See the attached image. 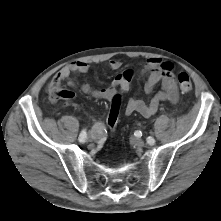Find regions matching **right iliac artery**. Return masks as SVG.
<instances>
[{
    "label": "right iliac artery",
    "instance_id": "1",
    "mask_svg": "<svg viewBox=\"0 0 221 221\" xmlns=\"http://www.w3.org/2000/svg\"><path fill=\"white\" fill-rule=\"evenodd\" d=\"M87 139L86 130H83L79 135V142L84 143Z\"/></svg>",
    "mask_w": 221,
    "mask_h": 221
}]
</instances>
